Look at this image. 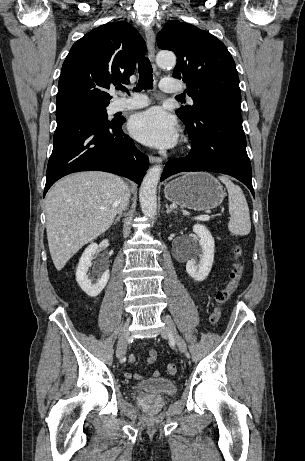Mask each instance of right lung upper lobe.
<instances>
[{
	"label": "right lung upper lobe",
	"mask_w": 305,
	"mask_h": 461,
	"mask_svg": "<svg viewBox=\"0 0 305 461\" xmlns=\"http://www.w3.org/2000/svg\"><path fill=\"white\" fill-rule=\"evenodd\" d=\"M146 44L125 22L101 25L74 43L58 82L57 108L108 103L110 86L129 83Z\"/></svg>",
	"instance_id": "right-lung-upper-lobe-1"
}]
</instances>
